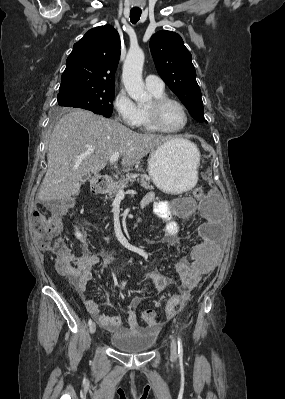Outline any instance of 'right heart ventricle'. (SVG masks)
Segmentation results:
<instances>
[{
    "label": "right heart ventricle",
    "instance_id": "right-heart-ventricle-1",
    "mask_svg": "<svg viewBox=\"0 0 285 399\" xmlns=\"http://www.w3.org/2000/svg\"><path fill=\"white\" fill-rule=\"evenodd\" d=\"M151 95L154 98H158L161 96L165 95L164 89L162 90H157V91H153V90H149ZM138 112H139V122H138V126L146 132H160L156 129L153 128V126L151 125L150 121H149V117H148V113H147V109L146 107H138Z\"/></svg>",
    "mask_w": 285,
    "mask_h": 399
}]
</instances>
